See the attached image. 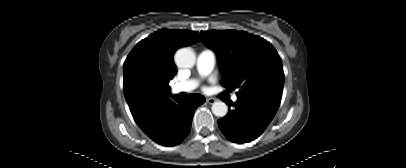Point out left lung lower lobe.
Returning <instances> with one entry per match:
<instances>
[{
    "instance_id": "left-lung-lower-lobe-1",
    "label": "left lung lower lobe",
    "mask_w": 406,
    "mask_h": 168,
    "mask_svg": "<svg viewBox=\"0 0 406 168\" xmlns=\"http://www.w3.org/2000/svg\"><path fill=\"white\" fill-rule=\"evenodd\" d=\"M279 104L263 98L238 97L235 103L229 101L234 109H229L228 114L218 120V126L230 141L250 142L267 128Z\"/></svg>"
}]
</instances>
